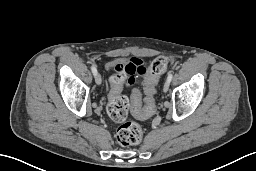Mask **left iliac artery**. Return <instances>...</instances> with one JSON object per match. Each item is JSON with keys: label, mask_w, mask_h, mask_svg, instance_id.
I'll return each mask as SVG.
<instances>
[{"label": "left iliac artery", "mask_w": 256, "mask_h": 171, "mask_svg": "<svg viewBox=\"0 0 256 171\" xmlns=\"http://www.w3.org/2000/svg\"><path fill=\"white\" fill-rule=\"evenodd\" d=\"M172 77H173V74H172V71H170V72L168 73V76H167V81L171 82Z\"/></svg>", "instance_id": "left-iliac-artery-1"}]
</instances>
